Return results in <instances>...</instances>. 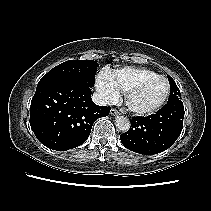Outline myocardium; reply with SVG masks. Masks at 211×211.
<instances>
[{"label":"myocardium","mask_w":211,"mask_h":211,"mask_svg":"<svg viewBox=\"0 0 211 211\" xmlns=\"http://www.w3.org/2000/svg\"><path fill=\"white\" fill-rule=\"evenodd\" d=\"M155 79H162L165 81L166 83V91L163 95V97L154 105L148 107V108H139L136 107L135 105H133L132 103V98L133 96L139 92L143 87H145L147 84H149L150 82H152ZM170 93V84L168 79L165 76L162 75H155V76H151L148 77L144 80H142L141 82H139L138 84H136L135 86H133L131 89H129L126 93H125V105L127 106V108L138 115H149L152 114L156 111H158L166 102L168 96Z\"/></svg>","instance_id":"f54148a6"}]
</instances>
